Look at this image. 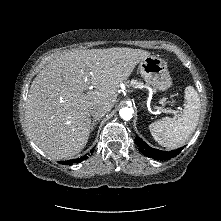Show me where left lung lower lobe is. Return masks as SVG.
Returning a JSON list of instances; mask_svg holds the SVG:
<instances>
[{
  "label": "left lung lower lobe",
  "mask_w": 221,
  "mask_h": 221,
  "mask_svg": "<svg viewBox=\"0 0 221 221\" xmlns=\"http://www.w3.org/2000/svg\"><path fill=\"white\" fill-rule=\"evenodd\" d=\"M135 143L139 147V150L147 157L156 159V160H161L165 161L170 158H173L177 154H179L183 148H179L176 150H172L170 152L167 151H161L155 148H151L148 146L142 139H140L138 136L135 138Z\"/></svg>",
  "instance_id": "0a47b994"
}]
</instances>
